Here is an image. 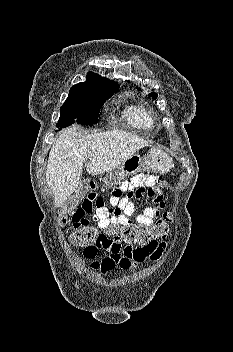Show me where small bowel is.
<instances>
[{
    "instance_id": "obj_1",
    "label": "small bowel",
    "mask_w": 233,
    "mask_h": 352,
    "mask_svg": "<svg viewBox=\"0 0 233 352\" xmlns=\"http://www.w3.org/2000/svg\"><path fill=\"white\" fill-rule=\"evenodd\" d=\"M84 198L81 206L74 212L72 222L74 229L84 223L96 221L98 227L107 232L110 228L127 226H151L160 216L164 208L165 182L162 178L140 173L112 189L109 203L113 210L105 205V201L95 192L92 181L82 185ZM124 195V196H123ZM146 196L152 203L132 220L135 206L132 199ZM165 249V243L154 241L147 245L122 247L118 236L109 237L106 241L83 250V255L91 261V267L106 274L115 268L131 270L147 260H157ZM100 251L108 255L99 258Z\"/></svg>"
}]
</instances>
